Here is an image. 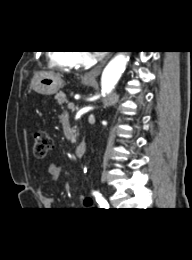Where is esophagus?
I'll return each mask as SVG.
<instances>
[{
	"label": "esophagus",
	"mask_w": 192,
	"mask_h": 260,
	"mask_svg": "<svg viewBox=\"0 0 192 260\" xmlns=\"http://www.w3.org/2000/svg\"><path fill=\"white\" fill-rule=\"evenodd\" d=\"M110 55L104 59L101 63H99L95 68H93L91 71L87 72L83 78L86 80H95L101 73L104 65L106 64L107 60L109 59Z\"/></svg>",
	"instance_id": "esophagus-1"
}]
</instances>
